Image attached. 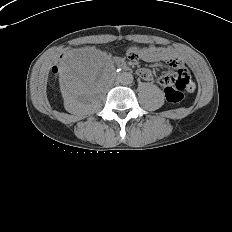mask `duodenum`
I'll return each instance as SVG.
<instances>
[{
    "instance_id": "obj_1",
    "label": "duodenum",
    "mask_w": 232,
    "mask_h": 232,
    "mask_svg": "<svg viewBox=\"0 0 232 232\" xmlns=\"http://www.w3.org/2000/svg\"><path fill=\"white\" fill-rule=\"evenodd\" d=\"M118 68H121L122 70H129V66L125 63H118Z\"/></svg>"
}]
</instances>
